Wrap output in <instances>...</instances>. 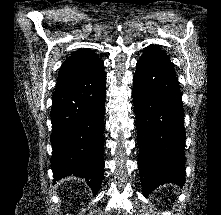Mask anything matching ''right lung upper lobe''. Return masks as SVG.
Wrapping results in <instances>:
<instances>
[{
  "mask_svg": "<svg viewBox=\"0 0 221 215\" xmlns=\"http://www.w3.org/2000/svg\"><path fill=\"white\" fill-rule=\"evenodd\" d=\"M103 69V61L90 49H80L61 66L56 90L91 77Z\"/></svg>",
  "mask_w": 221,
  "mask_h": 215,
  "instance_id": "1",
  "label": "right lung upper lobe"
}]
</instances>
